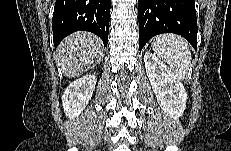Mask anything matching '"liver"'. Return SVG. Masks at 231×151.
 I'll use <instances>...</instances> for the list:
<instances>
[{"label":"liver","instance_id":"1","mask_svg":"<svg viewBox=\"0 0 231 151\" xmlns=\"http://www.w3.org/2000/svg\"><path fill=\"white\" fill-rule=\"evenodd\" d=\"M102 49V41L96 35L76 32L60 44L56 61L65 76H79L101 61Z\"/></svg>","mask_w":231,"mask_h":151}]
</instances>
